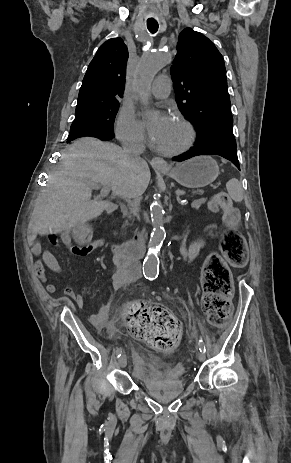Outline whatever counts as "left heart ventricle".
Listing matches in <instances>:
<instances>
[{
	"label": "left heart ventricle",
	"mask_w": 291,
	"mask_h": 463,
	"mask_svg": "<svg viewBox=\"0 0 291 463\" xmlns=\"http://www.w3.org/2000/svg\"><path fill=\"white\" fill-rule=\"evenodd\" d=\"M184 137L185 133L183 128L175 121L173 127L158 147L166 150L173 149L183 142Z\"/></svg>",
	"instance_id": "b2bd125f"
}]
</instances>
